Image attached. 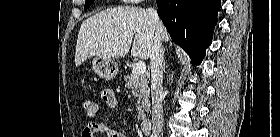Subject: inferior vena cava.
<instances>
[{
    "label": "inferior vena cava",
    "instance_id": "obj_1",
    "mask_svg": "<svg viewBox=\"0 0 280 137\" xmlns=\"http://www.w3.org/2000/svg\"><path fill=\"white\" fill-rule=\"evenodd\" d=\"M147 12L154 22V37L150 54L151 64V96H152V134L151 137L163 136V106H162V82H163V48L160 39L159 28L161 21L157 11L148 8Z\"/></svg>",
    "mask_w": 280,
    "mask_h": 137
}]
</instances>
